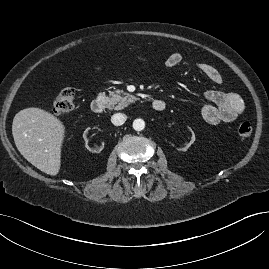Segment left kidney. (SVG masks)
I'll use <instances>...</instances> for the list:
<instances>
[{
	"label": "left kidney",
	"mask_w": 269,
	"mask_h": 269,
	"mask_svg": "<svg viewBox=\"0 0 269 269\" xmlns=\"http://www.w3.org/2000/svg\"><path fill=\"white\" fill-rule=\"evenodd\" d=\"M188 131L190 132V138H191V140H190V142L189 143H187L186 144V146L185 147H182V148H178L177 150L180 152L181 150L182 151H186L190 146H191V144H193L194 143V141H195V134H194V131L191 129V128H188Z\"/></svg>",
	"instance_id": "5707ae66"
}]
</instances>
